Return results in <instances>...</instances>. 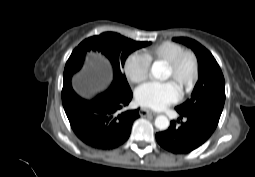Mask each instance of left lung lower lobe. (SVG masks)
I'll use <instances>...</instances> for the list:
<instances>
[{
    "mask_svg": "<svg viewBox=\"0 0 255 177\" xmlns=\"http://www.w3.org/2000/svg\"><path fill=\"white\" fill-rule=\"evenodd\" d=\"M179 114L186 122L176 126L172 121L168 130L156 134L159 145L175 154L190 153L200 147L212 135L219 122L208 116Z\"/></svg>",
    "mask_w": 255,
    "mask_h": 177,
    "instance_id": "0a47b994",
    "label": "left lung lower lobe"
}]
</instances>
